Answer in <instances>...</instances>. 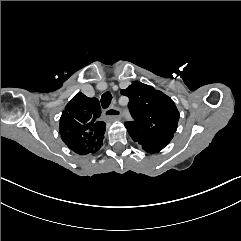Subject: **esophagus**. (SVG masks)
Wrapping results in <instances>:
<instances>
[{
	"label": "esophagus",
	"instance_id": "esophagus-1",
	"mask_svg": "<svg viewBox=\"0 0 241 241\" xmlns=\"http://www.w3.org/2000/svg\"><path fill=\"white\" fill-rule=\"evenodd\" d=\"M103 114L107 119H121V109L114 105L108 107Z\"/></svg>",
	"mask_w": 241,
	"mask_h": 241
}]
</instances>
